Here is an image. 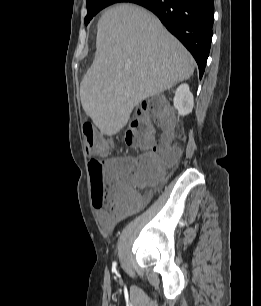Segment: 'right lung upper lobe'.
Instances as JSON below:
<instances>
[{
    "label": "right lung upper lobe",
    "mask_w": 261,
    "mask_h": 306,
    "mask_svg": "<svg viewBox=\"0 0 261 306\" xmlns=\"http://www.w3.org/2000/svg\"><path fill=\"white\" fill-rule=\"evenodd\" d=\"M119 2H132L134 0H118Z\"/></svg>",
    "instance_id": "1"
}]
</instances>
